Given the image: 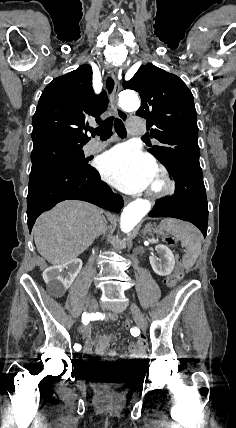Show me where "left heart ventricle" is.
<instances>
[{
    "label": "left heart ventricle",
    "instance_id": "obj_1",
    "mask_svg": "<svg viewBox=\"0 0 236 428\" xmlns=\"http://www.w3.org/2000/svg\"><path fill=\"white\" fill-rule=\"evenodd\" d=\"M158 185H159L158 178H157V176L154 174V177H153V179H152V181H151V183H150L149 187H155V186H158ZM149 187H148V188H149Z\"/></svg>",
    "mask_w": 236,
    "mask_h": 428
}]
</instances>
